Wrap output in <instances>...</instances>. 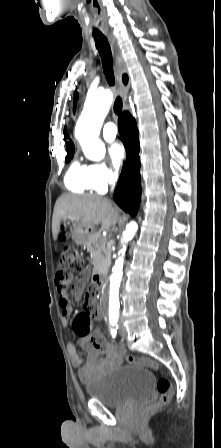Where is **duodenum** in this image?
Here are the masks:
<instances>
[{"mask_svg":"<svg viewBox=\"0 0 221 448\" xmlns=\"http://www.w3.org/2000/svg\"><path fill=\"white\" fill-rule=\"evenodd\" d=\"M93 279L95 280L97 285H99L100 287H102L105 283V277L102 272H94Z\"/></svg>","mask_w":221,"mask_h":448,"instance_id":"410a0bca","label":"duodenum"}]
</instances>
